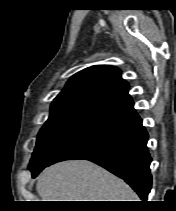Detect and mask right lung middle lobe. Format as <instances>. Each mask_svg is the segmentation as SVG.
Listing matches in <instances>:
<instances>
[{"label":"right lung middle lobe","instance_id":"right-lung-middle-lobe-1","mask_svg":"<svg viewBox=\"0 0 176 211\" xmlns=\"http://www.w3.org/2000/svg\"><path fill=\"white\" fill-rule=\"evenodd\" d=\"M98 123L64 116H50L41 128L30 160L31 172L45 166L54 156Z\"/></svg>","mask_w":176,"mask_h":211}]
</instances>
